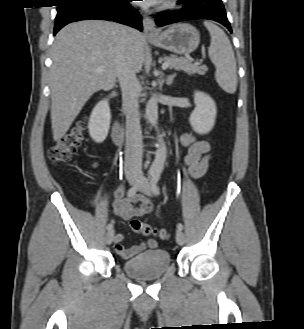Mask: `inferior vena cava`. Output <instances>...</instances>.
I'll return each mask as SVG.
<instances>
[{
	"label": "inferior vena cava",
	"mask_w": 304,
	"mask_h": 329,
	"mask_svg": "<svg viewBox=\"0 0 304 329\" xmlns=\"http://www.w3.org/2000/svg\"><path fill=\"white\" fill-rule=\"evenodd\" d=\"M121 53L117 77L122 90V106L126 115L125 173L127 178H142V132L138 111L140 84L130 53V28H121Z\"/></svg>",
	"instance_id": "obj_1"
}]
</instances>
